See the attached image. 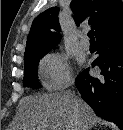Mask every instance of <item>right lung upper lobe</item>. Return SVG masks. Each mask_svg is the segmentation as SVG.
<instances>
[{
    "mask_svg": "<svg viewBox=\"0 0 123 130\" xmlns=\"http://www.w3.org/2000/svg\"><path fill=\"white\" fill-rule=\"evenodd\" d=\"M70 7L76 16V24L87 19L91 21L96 37L123 23L121 0H72ZM58 12L59 8L52 7L33 20L24 57L48 53L59 43L61 29Z\"/></svg>",
    "mask_w": 123,
    "mask_h": 130,
    "instance_id": "obj_1",
    "label": "right lung upper lobe"
}]
</instances>
